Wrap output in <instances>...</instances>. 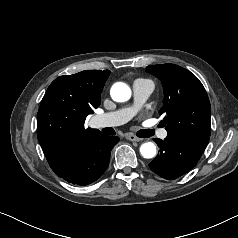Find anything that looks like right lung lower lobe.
<instances>
[{
	"label": "right lung lower lobe",
	"instance_id": "1",
	"mask_svg": "<svg viewBox=\"0 0 238 238\" xmlns=\"http://www.w3.org/2000/svg\"><path fill=\"white\" fill-rule=\"evenodd\" d=\"M119 137L91 130L74 137L59 153L47 157L52 170L62 179L76 185L96 181L107 169L112 148Z\"/></svg>",
	"mask_w": 238,
	"mask_h": 238
}]
</instances>
